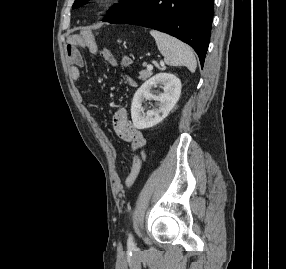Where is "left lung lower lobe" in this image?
Segmentation results:
<instances>
[{"label":"left lung lower lobe","mask_w":286,"mask_h":269,"mask_svg":"<svg viewBox=\"0 0 286 269\" xmlns=\"http://www.w3.org/2000/svg\"><path fill=\"white\" fill-rule=\"evenodd\" d=\"M214 0H147L145 4L119 20L170 34L189 44L204 64L209 45Z\"/></svg>","instance_id":"1"}]
</instances>
